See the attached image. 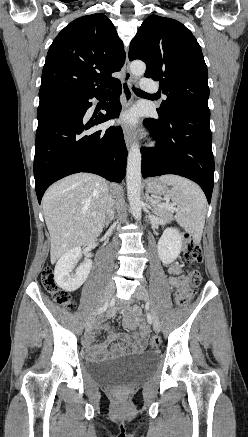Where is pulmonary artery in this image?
Returning <instances> with one entry per match:
<instances>
[{"label": "pulmonary artery", "instance_id": "obj_1", "mask_svg": "<svg viewBox=\"0 0 248 437\" xmlns=\"http://www.w3.org/2000/svg\"><path fill=\"white\" fill-rule=\"evenodd\" d=\"M140 84L141 88L146 92L155 93L158 91V87L152 79L142 78Z\"/></svg>", "mask_w": 248, "mask_h": 437}]
</instances>
